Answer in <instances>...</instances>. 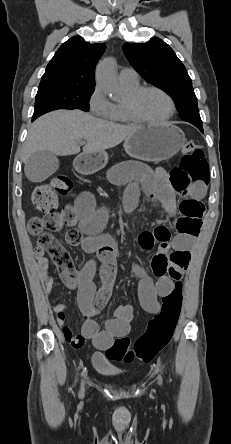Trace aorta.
<instances>
[{"instance_id":"1","label":"aorta","mask_w":231,"mask_h":444,"mask_svg":"<svg viewBox=\"0 0 231 444\" xmlns=\"http://www.w3.org/2000/svg\"><path fill=\"white\" fill-rule=\"evenodd\" d=\"M116 64L114 59L108 58L100 62L96 72L97 83L109 94L112 99H116L120 94L121 87L117 80Z\"/></svg>"}]
</instances>
